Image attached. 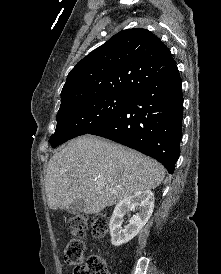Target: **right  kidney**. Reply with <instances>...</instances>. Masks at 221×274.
Returning <instances> with one entry per match:
<instances>
[{
  "label": "right kidney",
  "instance_id": "obj_1",
  "mask_svg": "<svg viewBox=\"0 0 221 274\" xmlns=\"http://www.w3.org/2000/svg\"><path fill=\"white\" fill-rule=\"evenodd\" d=\"M139 206V212L133 215L129 224L122 229L124 216ZM154 209V194L150 190L136 192L134 195L120 201L110 219V234L112 245L118 247L133 239L147 223Z\"/></svg>",
  "mask_w": 221,
  "mask_h": 274
}]
</instances>
